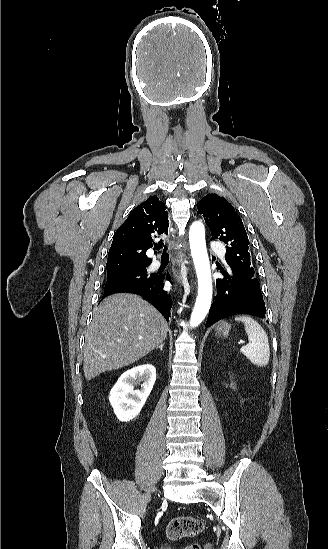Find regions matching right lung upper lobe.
I'll list each match as a JSON object with an SVG mask.
<instances>
[{"instance_id": "obj_1", "label": "right lung upper lobe", "mask_w": 328, "mask_h": 549, "mask_svg": "<svg viewBox=\"0 0 328 549\" xmlns=\"http://www.w3.org/2000/svg\"><path fill=\"white\" fill-rule=\"evenodd\" d=\"M168 226L165 203L157 196H150L139 204L114 234L108 253L107 273L149 266L152 260L146 251L153 246L154 238L168 233Z\"/></svg>"}]
</instances>
